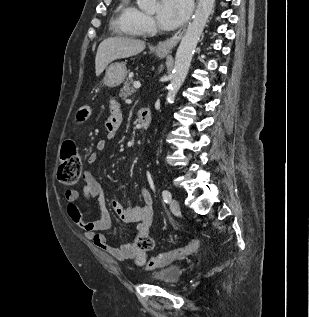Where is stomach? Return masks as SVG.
Returning <instances> with one entry per match:
<instances>
[{"label": "stomach", "instance_id": "stomach-1", "mask_svg": "<svg viewBox=\"0 0 309 317\" xmlns=\"http://www.w3.org/2000/svg\"><path fill=\"white\" fill-rule=\"evenodd\" d=\"M159 57H163L166 55L164 52L156 51ZM127 75V69L125 63H113L108 66L106 69L105 77L103 79V84L107 87H117L119 86L125 79Z\"/></svg>", "mask_w": 309, "mask_h": 317}]
</instances>
